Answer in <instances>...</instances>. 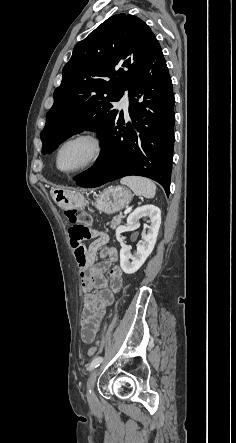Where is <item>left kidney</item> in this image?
<instances>
[{
    "label": "left kidney",
    "mask_w": 236,
    "mask_h": 443,
    "mask_svg": "<svg viewBox=\"0 0 236 443\" xmlns=\"http://www.w3.org/2000/svg\"><path fill=\"white\" fill-rule=\"evenodd\" d=\"M141 218H149L150 225L147 233L142 235L136 252L132 255L128 246H123L120 250V266L126 274L135 273L153 251L161 224V211L154 205L138 207L128 216L127 224L136 227Z\"/></svg>",
    "instance_id": "left-kidney-1"
}]
</instances>
